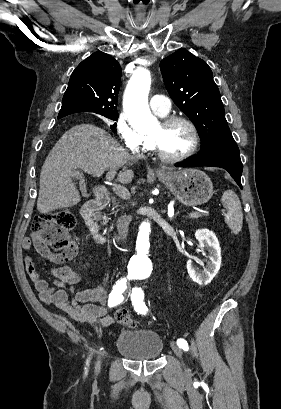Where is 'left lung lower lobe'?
<instances>
[{
  "label": "left lung lower lobe",
  "instance_id": "obj_1",
  "mask_svg": "<svg viewBox=\"0 0 281 409\" xmlns=\"http://www.w3.org/2000/svg\"><path fill=\"white\" fill-rule=\"evenodd\" d=\"M178 167H197V166H213L221 167L226 169L236 183L241 185V174L243 165L240 159L239 153L230 152H209V153H198L197 155L191 157L184 163L177 165Z\"/></svg>",
  "mask_w": 281,
  "mask_h": 409
}]
</instances>
